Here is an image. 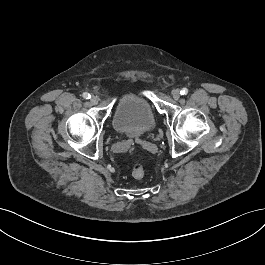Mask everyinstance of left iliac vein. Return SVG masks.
<instances>
[{
  "mask_svg": "<svg viewBox=\"0 0 265 265\" xmlns=\"http://www.w3.org/2000/svg\"><path fill=\"white\" fill-rule=\"evenodd\" d=\"M172 97L175 99V100H178L180 98V90L179 89H174L172 91Z\"/></svg>",
  "mask_w": 265,
  "mask_h": 265,
  "instance_id": "4c4485c4",
  "label": "left iliac vein"
}]
</instances>
